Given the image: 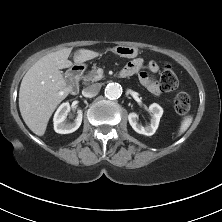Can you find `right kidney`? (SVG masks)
Listing matches in <instances>:
<instances>
[{
  "mask_svg": "<svg viewBox=\"0 0 222 222\" xmlns=\"http://www.w3.org/2000/svg\"><path fill=\"white\" fill-rule=\"evenodd\" d=\"M70 111L68 102L62 103L54 114V130L59 134H68L76 131L82 122V110L78 109L77 116L73 122H66V117Z\"/></svg>",
  "mask_w": 222,
  "mask_h": 222,
  "instance_id": "right-kidney-1",
  "label": "right kidney"
}]
</instances>
